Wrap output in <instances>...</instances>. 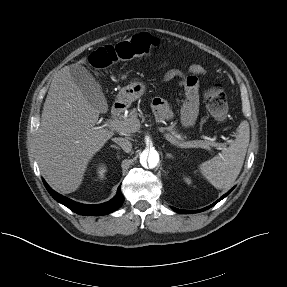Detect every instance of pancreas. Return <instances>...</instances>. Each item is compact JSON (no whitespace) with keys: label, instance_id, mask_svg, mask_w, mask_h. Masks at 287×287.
Wrapping results in <instances>:
<instances>
[{"label":"pancreas","instance_id":"obj_1","mask_svg":"<svg viewBox=\"0 0 287 287\" xmlns=\"http://www.w3.org/2000/svg\"><path fill=\"white\" fill-rule=\"evenodd\" d=\"M139 116H141V114L135 108H133L129 112L128 116L120 121L122 124L121 132L128 134L138 132L140 130V121L138 119ZM165 130L169 132L165 135L166 139L174 145L184 143L187 138L185 135L178 132L175 123L165 127ZM207 144L209 146L213 145L212 142H207Z\"/></svg>","mask_w":287,"mask_h":287}]
</instances>
